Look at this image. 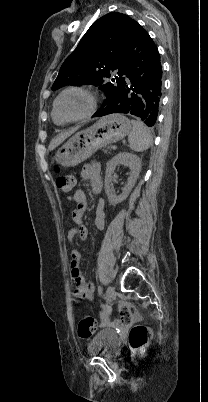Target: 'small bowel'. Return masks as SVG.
Returning a JSON list of instances; mask_svg holds the SVG:
<instances>
[{
	"instance_id": "small-bowel-1",
	"label": "small bowel",
	"mask_w": 208,
	"mask_h": 402,
	"mask_svg": "<svg viewBox=\"0 0 208 402\" xmlns=\"http://www.w3.org/2000/svg\"><path fill=\"white\" fill-rule=\"evenodd\" d=\"M79 178L82 181L89 182L92 190L98 193L102 190L101 168L97 162H91L83 166L79 172ZM73 199L76 202V209L72 213V217L77 225L72 228L67 235L68 241L73 242L77 237L85 239L87 237V229L82 225L81 220L87 209V199L84 190L76 189L73 193ZM106 211L105 203L100 200L96 206V216L94 225L97 229H103L105 226ZM72 261V278L76 283L77 291L84 294L86 297L92 298L95 286L92 282L87 281L79 268V252L73 248L70 252Z\"/></svg>"
}]
</instances>
